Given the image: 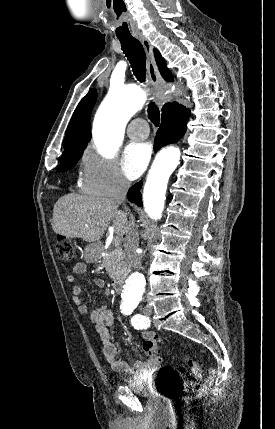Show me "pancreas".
I'll return each mask as SVG.
<instances>
[{
    "label": "pancreas",
    "instance_id": "1",
    "mask_svg": "<svg viewBox=\"0 0 275 429\" xmlns=\"http://www.w3.org/2000/svg\"><path fill=\"white\" fill-rule=\"evenodd\" d=\"M121 256L122 251L119 248V244H117L114 248H109L102 259L101 266L107 270L109 276L113 279L122 275L124 271L120 264Z\"/></svg>",
    "mask_w": 275,
    "mask_h": 429
}]
</instances>
